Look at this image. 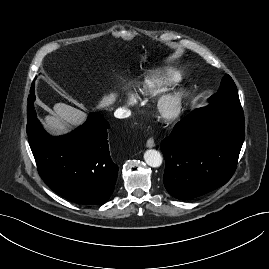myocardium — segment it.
<instances>
[{
  "label": "myocardium",
  "instance_id": "myocardium-1",
  "mask_svg": "<svg viewBox=\"0 0 269 269\" xmlns=\"http://www.w3.org/2000/svg\"><path fill=\"white\" fill-rule=\"evenodd\" d=\"M184 108V96L182 93H168L160 96L154 103L157 117L164 123L177 121Z\"/></svg>",
  "mask_w": 269,
  "mask_h": 269
}]
</instances>
